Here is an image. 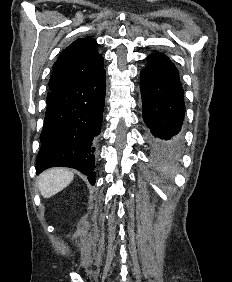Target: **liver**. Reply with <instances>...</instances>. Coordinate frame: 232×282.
Instances as JSON below:
<instances>
[{
  "label": "liver",
  "instance_id": "1",
  "mask_svg": "<svg viewBox=\"0 0 232 282\" xmlns=\"http://www.w3.org/2000/svg\"><path fill=\"white\" fill-rule=\"evenodd\" d=\"M73 178V172L68 169H48L39 176V191L44 198H49L66 188L73 181Z\"/></svg>",
  "mask_w": 232,
  "mask_h": 282
}]
</instances>
